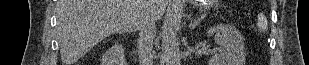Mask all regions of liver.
Returning a JSON list of instances; mask_svg holds the SVG:
<instances>
[{
	"label": "liver",
	"mask_w": 309,
	"mask_h": 65,
	"mask_svg": "<svg viewBox=\"0 0 309 65\" xmlns=\"http://www.w3.org/2000/svg\"><path fill=\"white\" fill-rule=\"evenodd\" d=\"M167 0H58L57 35L64 65H72L114 33L139 30L147 17L160 19Z\"/></svg>",
	"instance_id": "obj_1"
}]
</instances>
